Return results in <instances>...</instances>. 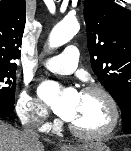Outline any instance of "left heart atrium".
I'll list each match as a JSON object with an SVG mask.
<instances>
[{"mask_svg": "<svg viewBox=\"0 0 131 151\" xmlns=\"http://www.w3.org/2000/svg\"><path fill=\"white\" fill-rule=\"evenodd\" d=\"M39 94L62 119L70 122L74 118L80 97L75 89L61 91L55 83L45 82L41 85Z\"/></svg>", "mask_w": 131, "mask_h": 151, "instance_id": "obj_1", "label": "left heart atrium"}]
</instances>
